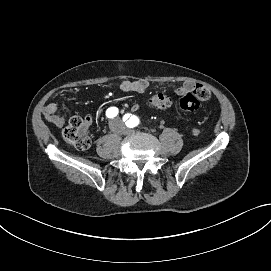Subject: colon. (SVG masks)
Listing matches in <instances>:
<instances>
[{
  "instance_id": "5ec220e1",
  "label": "colon",
  "mask_w": 271,
  "mask_h": 271,
  "mask_svg": "<svg viewBox=\"0 0 271 271\" xmlns=\"http://www.w3.org/2000/svg\"><path fill=\"white\" fill-rule=\"evenodd\" d=\"M210 96L211 93L205 86L197 84L192 92L186 93L178 102L166 94L157 93L151 95L147 99V103L157 109H172L178 106L183 111L193 112L199 108L200 102L208 100ZM88 127L89 125L85 120L78 117L72 118L64 129V139L74 148L85 150L89 148L91 143ZM199 133L198 129L192 131L194 136L199 135Z\"/></svg>"
}]
</instances>
